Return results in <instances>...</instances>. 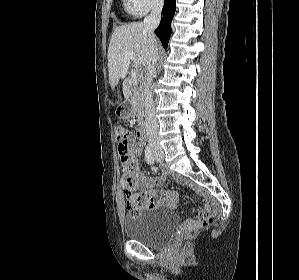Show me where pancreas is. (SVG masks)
Returning <instances> with one entry per match:
<instances>
[{"label":"pancreas","mask_w":299,"mask_h":280,"mask_svg":"<svg viewBox=\"0 0 299 280\" xmlns=\"http://www.w3.org/2000/svg\"><path fill=\"white\" fill-rule=\"evenodd\" d=\"M130 101L134 112L137 114V122L140 125L143 122L144 114V97L142 93V88L133 89L130 96Z\"/></svg>","instance_id":"cf45deb5"}]
</instances>
